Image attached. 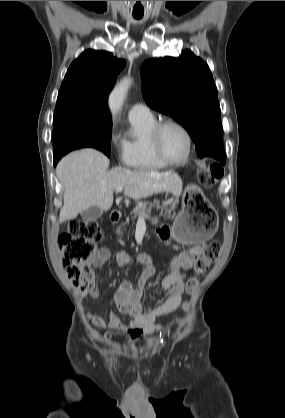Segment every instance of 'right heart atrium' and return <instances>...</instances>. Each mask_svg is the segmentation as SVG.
Listing matches in <instances>:
<instances>
[{
    "mask_svg": "<svg viewBox=\"0 0 285 418\" xmlns=\"http://www.w3.org/2000/svg\"><path fill=\"white\" fill-rule=\"evenodd\" d=\"M108 139L111 146L117 150L119 161L123 164H127L126 150L118 135L111 130L109 132Z\"/></svg>",
    "mask_w": 285,
    "mask_h": 418,
    "instance_id": "d8ad5b80",
    "label": "right heart atrium"
}]
</instances>
